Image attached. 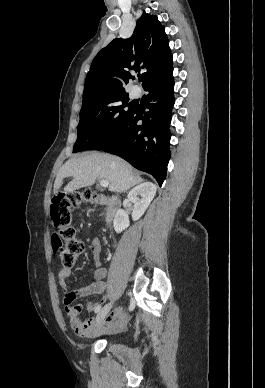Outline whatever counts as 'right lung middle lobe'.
<instances>
[{
	"instance_id": "obj_1",
	"label": "right lung middle lobe",
	"mask_w": 265,
	"mask_h": 388,
	"mask_svg": "<svg viewBox=\"0 0 265 388\" xmlns=\"http://www.w3.org/2000/svg\"><path fill=\"white\" fill-rule=\"evenodd\" d=\"M130 105L125 90H105L83 98L73 152L101 150L108 145L132 115L135 107Z\"/></svg>"
}]
</instances>
